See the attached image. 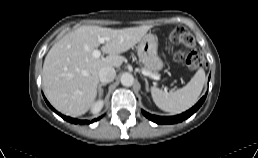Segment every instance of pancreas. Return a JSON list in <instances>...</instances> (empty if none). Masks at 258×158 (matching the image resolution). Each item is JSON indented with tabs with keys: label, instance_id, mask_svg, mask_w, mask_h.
<instances>
[{
	"label": "pancreas",
	"instance_id": "pancreas-1",
	"mask_svg": "<svg viewBox=\"0 0 258 158\" xmlns=\"http://www.w3.org/2000/svg\"><path fill=\"white\" fill-rule=\"evenodd\" d=\"M142 70H143V71L150 72V73H152V74H154V75H158V73L153 72L152 70H150V69H148V68H146V67H143Z\"/></svg>",
	"mask_w": 258,
	"mask_h": 158
}]
</instances>
